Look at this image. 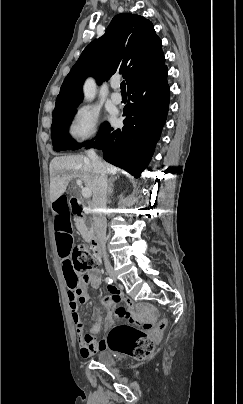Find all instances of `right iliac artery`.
<instances>
[{
    "mask_svg": "<svg viewBox=\"0 0 243 404\" xmlns=\"http://www.w3.org/2000/svg\"><path fill=\"white\" fill-rule=\"evenodd\" d=\"M105 282L108 283V284H112L113 280L110 277H106Z\"/></svg>",
    "mask_w": 243,
    "mask_h": 404,
    "instance_id": "82829eb1",
    "label": "right iliac artery"
}]
</instances>
